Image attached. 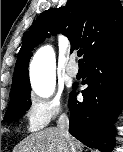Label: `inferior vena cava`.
<instances>
[{"instance_id":"1","label":"inferior vena cava","mask_w":123,"mask_h":152,"mask_svg":"<svg viewBox=\"0 0 123 152\" xmlns=\"http://www.w3.org/2000/svg\"><path fill=\"white\" fill-rule=\"evenodd\" d=\"M57 127L62 135L65 137L66 141L71 145L69 134V119L66 114L60 115L57 121ZM71 152H75L74 148H71Z\"/></svg>"}]
</instances>
